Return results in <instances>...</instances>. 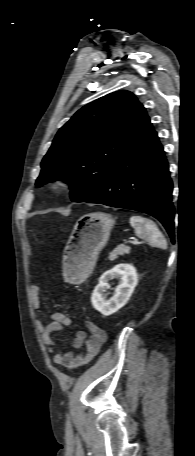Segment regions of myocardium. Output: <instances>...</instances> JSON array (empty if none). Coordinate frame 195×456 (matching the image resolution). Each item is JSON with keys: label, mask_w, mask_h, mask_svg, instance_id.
I'll return each mask as SVG.
<instances>
[{"label": "myocardium", "mask_w": 195, "mask_h": 456, "mask_svg": "<svg viewBox=\"0 0 195 456\" xmlns=\"http://www.w3.org/2000/svg\"><path fill=\"white\" fill-rule=\"evenodd\" d=\"M55 185L56 186L60 185V182L59 181L55 182Z\"/></svg>", "instance_id": "f54148a6"}]
</instances>
